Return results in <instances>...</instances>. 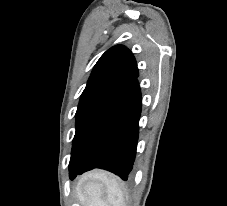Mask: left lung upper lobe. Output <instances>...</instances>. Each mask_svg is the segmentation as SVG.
Segmentation results:
<instances>
[{
    "instance_id": "obj_1",
    "label": "left lung upper lobe",
    "mask_w": 227,
    "mask_h": 206,
    "mask_svg": "<svg viewBox=\"0 0 227 206\" xmlns=\"http://www.w3.org/2000/svg\"><path fill=\"white\" fill-rule=\"evenodd\" d=\"M138 75L135 58L125 46L111 47L97 61L76 111V132L69 168L76 166L85 157L106 107Z\"/></svg>"
}]
</instances>
